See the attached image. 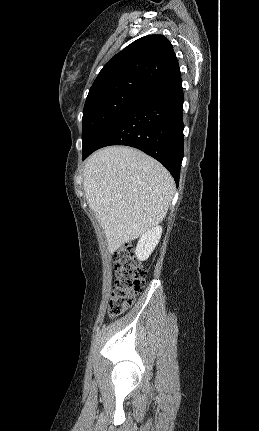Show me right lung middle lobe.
<instances>
[{
    "label": "right lung middle lobe",
    "mask_w": 259,
    "mask_h": 431,
    "mask_svg": "<svg viewBox=\"0 0 259 431\" xmlns=\"http://www.w3.org/2000/svg\"><path fill=\"white\" fill-rule=\"evenodd\" d=\"M150 88L131 81L87 96L82 118V151L86 154L101 133Z\"/></svg>",
    "instance_id": "obj_1"
}]
</instances>
